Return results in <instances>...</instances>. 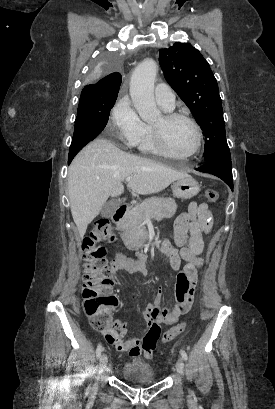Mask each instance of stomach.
<instances>
[{
    "instance_id": "stomach-1",
    "label": "stomach",
    "mask_w": 275,
    "mask_h": 409,
    "mask_svg": "<svg viewBox=\"0 0 275 409\" xmlns=\"http://www.w3.org/2000/svg\"><path fill=\"white\" fill-rule=\"evenodd\" d=\"M174 196L178 198H192L195 194H198L200 190V184L193 178V176H184V178H178L172 186Z\"/></svg>"
}]
</instances>
